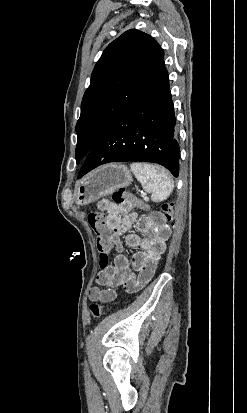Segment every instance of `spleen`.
Here are the masks:
<instances>
[{
	"label": "spleen",
	"instance_id": "spleen-1",
	"mask_svg": "<svg viewBox=\"0 0 247 413\" xmlns=\"http://www.w3.org/2000/svg\"><path fill=\"white\" fill-rule=\"evenodd\" d=\"M145 162H132L130 164L131 170H133L136 178L140 180L144 190L151 192V200L154 202H160L170 196L174 188V180L170 176V172L166 168L159 166L157 170L155 168H145L143 166Z\"/></svg>",
	"mask_w": 247,
	"mask_h": 413
}]
</instances>
